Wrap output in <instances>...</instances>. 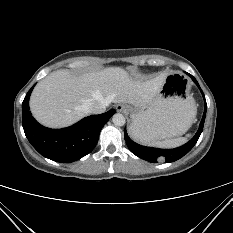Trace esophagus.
Masks as SVG:
<instances>
[{"label":"esophagus","mask_w":233,"mask_h":233,"mask_svg":"<svg viewBox=\"0 0 233 233\" xmlns=\"http://www.w3.org/2000/svg\"><path fill=\"white\" fill-rule=\"evenodd\" d=\"M116 110H117V112H122V113H126L127 112V108L123 104H118L116 106Z\"/></svg>","instance_id":"esophagus-1"}]
</instances>
